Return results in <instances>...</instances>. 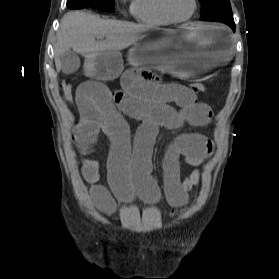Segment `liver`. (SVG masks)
Masks as SVG:
<instances>
[{"mask_svg": "<svg viewBox=\"0 0 279 279\" xmlns=\"http://www.w3.org/2000/svg\"><path fill=\"white\" fill-rule=\"evenodd\" d=\"M155 30L158 29L149 25L101 19L89 12H69L62 18L57 32L54 47L56 70L60 71V56L66 51L73 49L92 60L103 52L118 53Z\"/></svg>", "mask_w": 279, "mask_h": 279, "instance_id": "6515ba94", "label": "liver"}]
</instances>
